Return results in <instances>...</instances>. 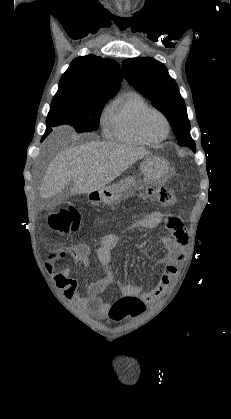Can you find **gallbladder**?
Segmentation results:
<instances>
[{
	"label": "gallbladder",
	"mask_w": 231,
	"mask_h": 419,
	"mask_svg": "<svg viewBox=\"0 0 231 419\" xmlns=\"http://www.w3.org/2000/svg\"><path fill=\"white\" fill-rule=\"evenodd\" d=\"M66 198H67V194L66 193H60V194H58V195H56L54 197V199L56 201H62V200H65Z\"/></svg>",
	"instance_id": "1"
}]
</instances>
